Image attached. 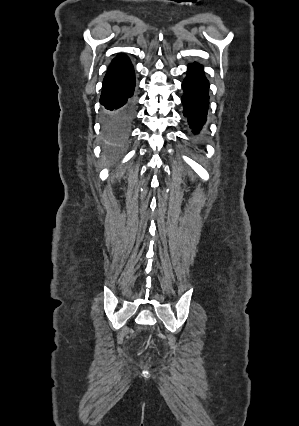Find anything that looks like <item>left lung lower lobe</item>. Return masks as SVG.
Instances as JSON below:
<instances>
[{
  "label": "left lung lower lobe",
  "instance_id": "0a47b994",
  "mask_svg": "<svg viewBox=\"0 0 299 426\" xmlns=\"http://www.w3.org/2000/svg\"><path fill=\"white\" fill-rule=\"evenodd\" d=\"M187 72L188 74L182 83L184 90L182 97L183 114L187 118L190 128L196 134L206 122L209 108V84L200 64L196 62L189 64Z\"/></svg>",
  "mask_w": 299,
  "mask_h": 426
}]
</instances>
